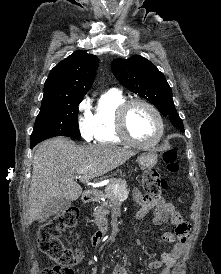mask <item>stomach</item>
I'll list each match as a JSON object with an SVG mask.
<instances>
[{"label": "stomach", "instance_id": "0dacf381", "mask_svg": "<svg viewBox=\"0 0 221 274\" xmlns=\"http://www.w3.org/2000/svg\"><path fill=\"white\" fill-rule=\"evenodd\" d=\"M138 162L143 168L153 167L157 163V154L155 152H143L138 157Z\"/></svg>", "mask_w": 221, "mask_h": 274}]
</instances>
